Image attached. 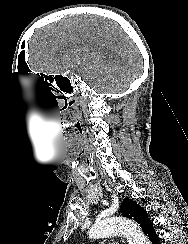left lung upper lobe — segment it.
Listing matches in <instances>:
<instances>
[{
    "label": "left lung upper lobe",
    "instance_id": "5c2ea615",
    "mask_svg": "<svg viewBox=\"0 0 188 244\" xmlns=\"http://www.w3.org/2000/svg\"><path fill=\"white\" fill-rule=\"evenodd\" d=\"M120 211L124 217L130 218L140 224L143 216L147 213L140 205L131 199H124Z\"/></svg>",
    "mask_w": 188,
    "mask_h": 244
}]
</instances>
